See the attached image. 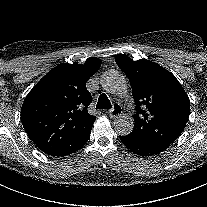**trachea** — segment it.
Returning <instances> with one entry per match:
<instances>
[{
  "mask_svg": "<svg viewBox=\"0 0 207 207\" xmlns=\"http://www.w3.org/2000/svg\"><path fill=\"white\" fill-rule=\"evenodd\" d=\"M112 107L111 102L105 94H101L96 109H110Z\"/></svg>",
  "mask_w": 207,
  "mask_h": 207,
  "instance_id": "obj_1",
  "label": "trachea"
}]
</instances>
